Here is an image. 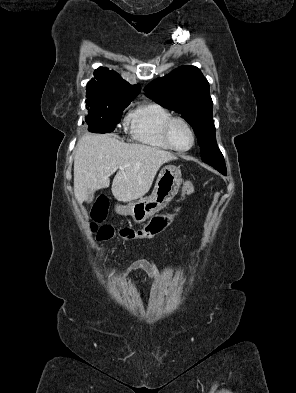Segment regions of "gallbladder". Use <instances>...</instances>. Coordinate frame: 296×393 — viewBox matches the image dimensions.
<instances>
[{
    "label": "gallbladder",
    "mask_w": 296,
    "mask_h": 393,
    "mask_svg": "<svg viewBox=\"0 0 296 393\" xmlns=\"http://www.w3.org/2000/svg\"><path fill=\"white\" fill-rule=\"evenodd\" d=\"M93 198H94V197H93V194H91V195L89 196V198L87 199V202H88V203L92 202V201H93Z\"/></svg>",
    "instance_id": "1"
}]
</instances>
